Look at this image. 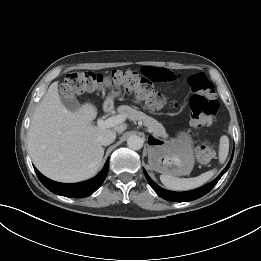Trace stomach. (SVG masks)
I'll return each mask as SVG.
<instances>
[{
	"mask_svg": "<svg viewBox=\"0 0 261 261\" xmlns=\"http://www.w3.org/2000/svg\"><path fill=\"white\" fill-rule=\"evenodd\" d=\"M121 94V89L113 87L108 102ZM148 163L159 173L176 176L189 175L194 167V150L192 137L180 132L171 140L153 136L149 140Z\"/></svg>",
	"mask_w": 261,
	"mask_h": 261,
	"instance_id": "stomach-1",
	"label": "stomach"
}]
</instances>
